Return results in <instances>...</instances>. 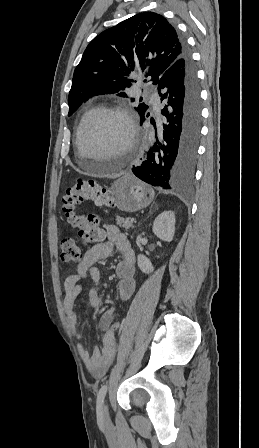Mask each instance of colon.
<instances>
[{
  "label": "colon",
  "mask_w": 259,
  "mask_h": 448,
  "mask_svg": "<svg viewBox=\"0 0 259 448\" xmlns=\"http://www.w3.org/2000/svg\"><path fill=\"white\" fill-rule=\"evenodd\" d=\"M84 200H91L99 207H110L114 205V197L95 179L80 177L66 189L62 198V209L68 222L78 229L79 238L84 242L98 241L103 236L98 227V217L94 214H81L78 211V205ZM82 255V249L74 239L63 238L60 241V257L63 262L77 263ZM113 324L117 328L120 327L117 320Z\"/></svg>",
  "instance_id": "colon-1"
}]
</instances>
